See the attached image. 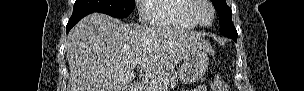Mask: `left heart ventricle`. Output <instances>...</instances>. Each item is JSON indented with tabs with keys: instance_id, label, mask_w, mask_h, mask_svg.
Segmentation results:
<instances>
[{
	"instance_id": "1",
	"label": "left heart ventricle",
	"mask_w": 304,
	"mask_h": 91,
	"mask_svg": "<svg viewBox=\"0 0 304 91\" xmlns=\"http://www.w3.org/2000/svg\"><path fill=\"white\" fill-rule=\"evenodd\" d=\"M198 17L202 22L208 23L212 18L210 9L207 6L202 7L198 11Z\"/></svg>"
}]
</instances>
